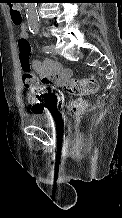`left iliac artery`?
<instances>
[{
    "label": "left iliac artery",
    "instance_id": "1",
    "mask_svg": "<svg viewBox=\"0 0 122 218\" xmlns=\"http://www.w3.org/2000/svg\"><path fill=\"white\" fill-rule=\"evenodd\" d=\"M43 51H44L46 54L51 53V48H50V46H44V47H43Z\"/></svg>",
    "mask_w": 122,
    "mask_h": 218
}]
</instances>
